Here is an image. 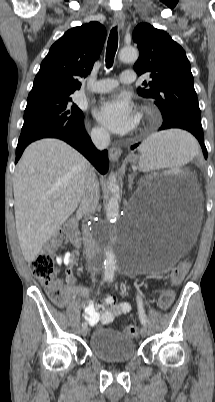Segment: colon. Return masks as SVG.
<instances>
[{"mask_svg": "<svg viewBox=\"0 0 215 402\" xmlns=\"http://www.w3.org/2000/svg\"><path fill=\"white\" fill-rule=\"evenodd\" d=\"M61 239L54 237L45 246L44 250L30 262L32 274L49 290V295L52 301L62 306L65 303V294L61 285L56 280L54 269L53 251L59 246ZM189 268V262L180 263L172 273V279L178 283ZM174 300V293L170 290L164 291L158 298V305L161 309H168ZM124 333L134 338L138 335V327L135 325H127Z\"/></svg>", "mask_w": 215, "mask_h": 402, "instance_id": "5ec220e1", "label": "colon"}]
</instances>
